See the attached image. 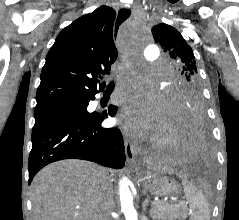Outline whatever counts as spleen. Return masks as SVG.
Wrapping results in <instances>:
<instances>
[{"mask_svg":"<svg viewBox=\"0 0 239 220\" xmlns=\"http://www.w3.org/2000/svg\"><path fill=\"white\" fill-rule=\"evenodd\" d=\"M182 185L186 200L192 210L190 220H210L211 212L204 194L187 179L182 181Z\"/></svg>","mask_w":239,"mask_h":220,"instance_id":"spleen-1","label":"spleen"}]
</instances>
